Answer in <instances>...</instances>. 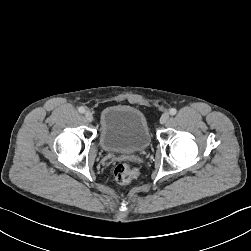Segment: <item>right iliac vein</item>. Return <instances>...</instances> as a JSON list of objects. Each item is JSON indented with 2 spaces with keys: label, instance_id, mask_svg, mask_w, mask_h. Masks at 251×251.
Masks as SVG:
<instances>
[{
  "label": "right iliac vein",
  "instance_id": "obj_1",
  "mask_svg": "<svg viewBox=\"0 0 251 251\" xmlns=\"http://www.w3.org/2000/svg\"><path fill=\"white\" fill-rule=\"evenodd\" d=\"M84 116H85V119L88 122H92L93 121V114H92V112L90 110L85 111Z\"/></svg>",
  "mask_w": 251,
  "mask_h": 251
}]
</instances>
